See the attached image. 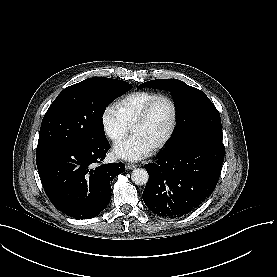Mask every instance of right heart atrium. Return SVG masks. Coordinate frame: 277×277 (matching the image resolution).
<instances>
[{
	"instance_id": "right-heart-atrium-1",
	"label": "right heart atrium",
	"mask_w": 277,
	"mask_h": 277,
	"mask_svg": "<svg viewBox=\"0 0 277 277\" xmlns=\"http://www.w3.org/2000/svg\"><path fill=\"white\" fill-rule=\"evenodd\" d=\"M103 128L111 138H117L125 133L126 121L119 111L107 110L103 117Z\"/></svg>"
}]
</instances>
